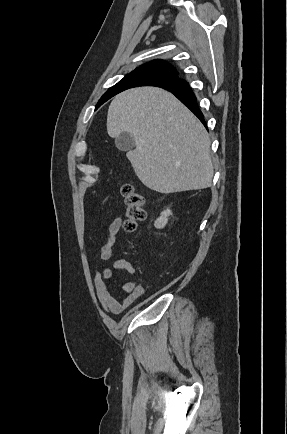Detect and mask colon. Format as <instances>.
Instances as JSON below:
<instances>
[{
	"label": "colon",
	"instance_id": "1",
	"mask_svg": "<svg viewBox=\"0 0 287 434\" xmlns=\"http://www.w3.org/2000/svg\"><path fill=\"white\" fill-rule=\"evenodd\" d=\"M120 191L125 201V229L127 231L136 230L145 220L144 198L131 183L120 185ZM126 289H132L131 284L126 285Z\"/></svg>",
	"mask_w": 287,
	"mask_h": 434
}]
</instances>
